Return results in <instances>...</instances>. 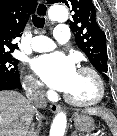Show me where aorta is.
Listing matches in <instances>:
<instances>
[{
    "label": "aorta",
    "instance_id": "1",
    "mask_svg": "<svg viewBox=\"0 0 117 136\" xmlns=\"http://www.w3.org/2000/svg\"><path fill=\"white\" fill-rule=\"evenodd\" d=\"M68 10L63 5H53L49 9V18L52 21L65 22L68 20ZM67 124L66 114L64 112L58 113L51 125L49 136H64Z\"/></svg>",
    "mask_w": 117,
    "mask_h": 136
}]
</instances>
